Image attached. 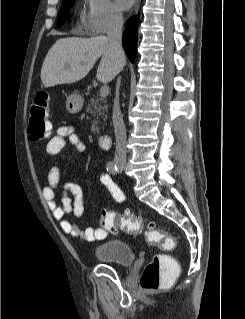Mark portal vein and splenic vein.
<instances>
[{
  "mask_svg": "<svg viewBox=\"0 0 245 319\" xmlns=\"http://www.w3.org/2000/svg\"><path fill=\"white\" fill-rule=\"evenodd\" d=\"M109 94V87L107 85H104L100 89V96L101 97H106Z\"/></svg>",
  "mask_w": 245,
  "mask_h": 319,
  "instance_id": "18ae733b",
  "label": "portal vein and splenic vein"
}]
</instances>
